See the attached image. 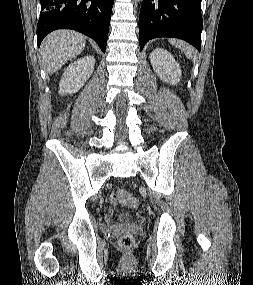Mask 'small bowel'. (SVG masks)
Here are the masks:
<instances>
[{
    "label": "small bowel",
    "mask_w": 253,
    "mask_h": 285,
    "mask_svg": "<svg viewBox=\"0 0 253 285\" xmlns=\"http://www.w3.org/2000/svg\"><path fill=\"white\" fill-rule=\"evenodd\" d=\"M112 202H113V203H115V199H114V197H112Z\"/></svg>",
    "instance_id": "1"
}]
</instances>
